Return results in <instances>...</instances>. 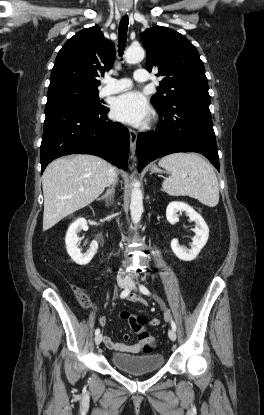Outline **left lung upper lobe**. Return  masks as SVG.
Listing matches in <instances>:
<instances>
[{"label": "left lung upper lobe", "mask_w": 264, "mask_h": 415, "mask_svg": "<svg viewBox=\"0 0 264 415\" xmlns=\"http://www.w3.org/2000/svg\"><path fill=\"white\" fill-rule=\"evenodd\" d=\"M147 52L146 69L163 77L152 96L155 108L184 97L210 98L203 62L195 46L180 33L163 26L141 35Z\"/></svg>", "instance_id": "left-lung-upper-lobe-1"}]
</instances>
